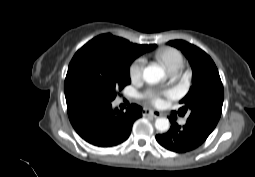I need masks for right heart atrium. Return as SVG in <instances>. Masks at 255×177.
<instances>
[{"label":"right heart atrium","mask_w":255,"mask_h":177,"mask_svg":"<svg viewBox=\"0 0 255 177\" xmlns=\"http://www.w3.org/2000/svg\"><path fill=\"white\" fill-rule=\"evenodd\" d=\"M144 67L145 59L143 57H138L132 61L129 67V74L133 81H138L141 79Z\"/></svg>","instance_id":"right-heart-atrium-1"}]
</instances>
